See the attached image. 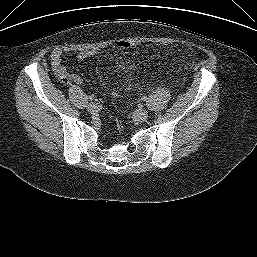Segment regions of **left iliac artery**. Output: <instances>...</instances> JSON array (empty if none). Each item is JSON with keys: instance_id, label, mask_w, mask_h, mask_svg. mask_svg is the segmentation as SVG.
<instances>
[{"instance_id": "1", "label": "left iliac artery", "mask_w": 257, "mask_h": 257, "mask_svg": "<svg viewBox=\"0 0 257 257\" xmlns=\"http://www.w3.org/2000/svg\"><path fill=\"white\" fill-rule=\"evenodd\" d=\"M141 99H142L143 101H146V100H147V97H146V96H143Z\"/></svg>"}]
</instances>
